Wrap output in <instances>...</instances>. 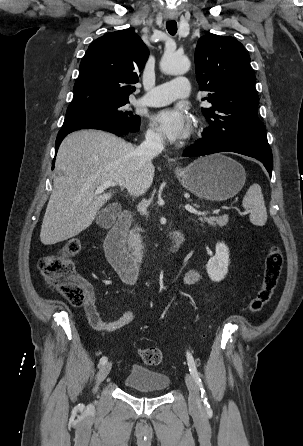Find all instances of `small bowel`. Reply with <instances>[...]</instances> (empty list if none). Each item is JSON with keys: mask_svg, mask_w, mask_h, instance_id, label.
<instances>
[{"mask_svg": "<svg viewBox=\"0 0 303 446\" xmlns=\"http://www.w3.org/2000/svg\"><path fill=\"white\" fill-rule=\"evenodd\" d=\"M201 279V272L196 269L189 270L183 278L185 284H193ZM87 295V301L83 307V316L89 325L98 331H112L119 329L128 323H130L135 314L133 311H127L119 319L114 321L106 322L104 321L95 305L94 292L90 285L83 283Z\"/></svg>", "mask_w": 303, "mask_h": 446, "instance_id": "small-bowel-1", "label": "small bowel"}]
</instances>
